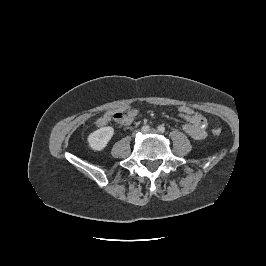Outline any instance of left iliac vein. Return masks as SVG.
Masks as SVG:
<instances>
[{"label": "left iliac vein", "mask_w": 266, "mask_h": 266, "mask_svg": "<svg viewBox=\"0 0 266 266\" xmlns=\"http://www.w3.org/2000/svg\"><path fill=\"white\" fill-rule=\"evenodd\" d=\"M149 133H151V134H157L158 131H157L156 129H151V130L149 131Z\"/></svg>", "instance_id": "1"}]
</instances>
